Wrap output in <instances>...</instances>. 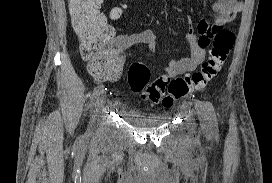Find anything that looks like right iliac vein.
Wrapping results in <instances>:
<instances>
[{
    "label": "right iliac vein",
    "instance_id": "obj_1",
    "mask_svg": "<svg viewBox=\"0 0 272 183\" xmlns=\"http://www.w3.org/2000/svg\"><path fill=\"white\" fill-rule=\"evenodd\" d=\"M104 100H105L104 92L96 97V102H95L96 110H98V108L103 104Z\"/></svg>",
    "mask_w": 272,
    "mask_h": 183
}]
</instances>
